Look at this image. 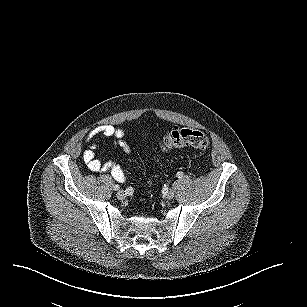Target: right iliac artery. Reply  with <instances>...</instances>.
Returning <instances> with one entry per match:
<instances>
[{
  "label": "right iliac artery",
  "instance_id": "right-iliac-artery-1",
  "mask_svg": "<svg viewBox=\"0 0 307 307\" xmlns=\"http://www.w3.org/2000/svg\"><path fill=\"white\" fill-rule=\"evenodd\" d=\"M113 189H114V190H119L120 187H119V185H113Z\"/></svg>",
  "mask_w": 307,
  "mask_h": 307
}]
</instances>
